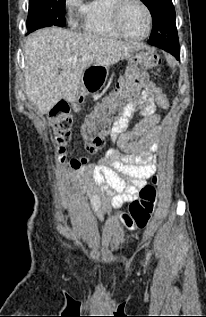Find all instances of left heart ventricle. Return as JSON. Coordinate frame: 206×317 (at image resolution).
Instances as JSON below:
<instances>
[{
    "instance_id": "obj_1",
    "label": "left heart ventricle",
    "mask_w": 206,
    "mask_h": 317,
    "mask_svg": "<svg viewBox=\"0 0 206 317\" xmlns=\"http://www.w3.org/2000/svg\"><path fill=\"white\" fill-rule=\"evenodd\" d=\"M124 31L134 37L142 36L147 29V16L144 9L137 2H129L121 17Z\"/></svg>"
}]
</instances>
